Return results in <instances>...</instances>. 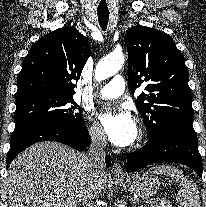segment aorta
<instances>
[{
	"mask_svg": "<svg viewBox=\"0 0 206 207\" xmlns=\"http://www.w3.org/2000/svg\"><path fill=\"white\" fill-rule=\"evenodd\" d=\"M125 56L122 53L113 52L98 62L95 70V78L100 81L116 74L123 66Z\"/></svg>",
	"mask_w": 206,
	"mask_h": 207,
	"instance_id": "aorta-1",
	"label": "aorta"
}]
</instances>
